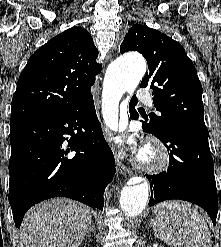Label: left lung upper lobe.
<instances>
[{"label": "left lung upper lobe", "instance_id": "5c2ea615", "mask_svg": "<svg viewBox=\"0 0 221 247\" xmlns=\"http://www.w3.org/2000/svg\"><path fill=\"white\" fill-rule=\"evenodd\" d=\"M138 51L147 60L149 72L140 87L153 90V102L160 115L151 113L150 126L162 132L173 125L206 128L202 85L184 48L165 34L134 25L120 45V52Z\"/></svg>", "mask_w": 221, "mask_h": 247}]
</instances>
